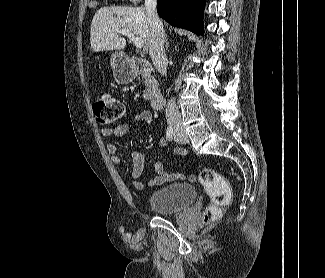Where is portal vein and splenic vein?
Listing matches in <instances>:
<instances>
[{"label":"portal vein and splenic vein","instance_id":"1","mask_svg":"<svg viewBox=\"0 0 325 278\" xmlns=\"http://www.w3.org/2000/svg\"><path fill=\"white\" fill-rule=\"evenodd\" d=\"M116 32L128 36L138 49H142L144 47V40L140 37H135L134 33H132L130 30L123 28L116 30Z\"/></svg>","mask_w":325,"mask_h":278}]
</instances>
